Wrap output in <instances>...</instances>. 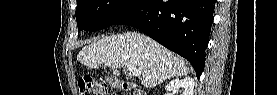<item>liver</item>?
<instances>
[{
	"label": "liver",
	"mask_w": 277,
	"mask_h": 95,
	"mask_svg": "<svg viewBox=\"0 0 277 95\" xmlns=\"http://www.w3.org/2000/svg\"><path fill=\"white\" fill-rule=\"evenodd\" d=\"M77 60L93 69L105 64L112 68L114 76L120 75L121 67L132 65L141 71V83L149 88L189 73L182 58L151 38L135 32L106 36L84 46Z\"/></svg>",
	"instance_id": "1"
}]
</instances>
